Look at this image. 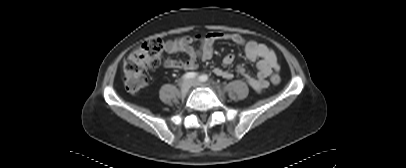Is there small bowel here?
Listing matches in <instances>:
<instances>
[{"label":"small bowel","mask_w":406,"mask_h":168,"mask_svg":"<svg viewBox=\"0 0 406 168\" xmlns=\"http://www.w3.org/2000/svg\"><path fill=\"white\" fill-rule=\"evenodd\" d=\"M226 40L244 47L246 58L256 62L257 75L251 76L243 65H238L237 70L243 76L246 83L256 92H262L268 87V78L275 71L280 69L274 51L265 44L255 40H246L237 33L212 32L203 36H183L177 39L168 40L164 49L168 55L183 53L186 60L166 58L164 66L171 69L190 70L198 65V59L208 60L213 55V44L216 41ZM199 43V49L193 45ZM234 62V56L227 54L223 58V66L214 69V73L225 79H231L233 74L225 67Z\"/></svg>","instance_id":"obj_1"}]
</instances>
